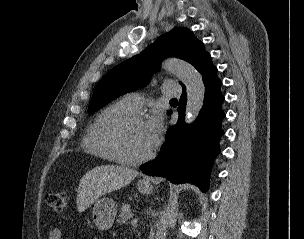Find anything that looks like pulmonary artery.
I'll use <instances>...</instances> for the list:
<instances>
[{"mask_svg":"<svg viewBox=\"0 0 304 239\" xmlns=\"http://www.w3.org/2000/svg\"><path fill=\"white\" fill-rule=\"evenodd\" d=\"M181 87L172 81H168L163 84L162 87V93L167 96V97H177L180 96L181 94ZM122 101L134 112L138 111L141 109L144 98L137 92H132L126 94L123 98Z\"/></svg>","mask_w":304,"mask_h":239,"instance_id":"e3ab8cb5","label":"pulmonary artery"}]
</instances>
